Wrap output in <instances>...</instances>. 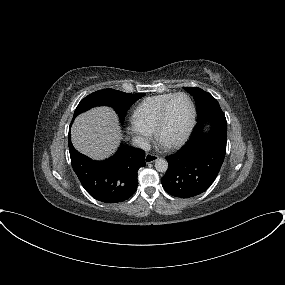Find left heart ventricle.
Masks as SVG:
<instances>
[{"label":"left heart ventricle","mask_w":285,"mask_h":285,"mask_svg":"<svg viewBox=\"0 0 285 285\" xmlns=\"http://www.w3.org/2000/svg\"><path fill=\"white\" fill-rule=\"evenodd\" d=\"M191 116L190 103L184 96H179L170 105L168 117L160 134L162 143L175 141L185 132Z\"/></svg>","instance_id":"b2bd125f"}]
</instances>
